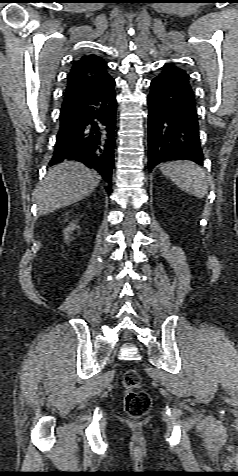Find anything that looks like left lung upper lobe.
Masks as SVG:
<instances>
[{"instance_id": "5c2ea615", "label": "left lung upper lobe", "mask_w": 238, "mask_h": 476, "mask_svg": "<svg viewBox=\"0 0 238 476\" xmlns=\"http://www.w3.org/2000/svg\"><path fill=\"white\" fill-rule=\"evenodd\" d=\"M168 66H170V68L174 71L175 74L181 76V78L188 84H189V75L186 73L185 70L183 69H180L174 65H171V64H166Z\"/></svg>"}]
</instances>
